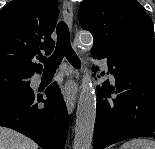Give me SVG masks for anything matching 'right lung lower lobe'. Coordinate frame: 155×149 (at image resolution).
Segmentation results:
<instances>
[{"instance_id": "98d812e1", "label": "right lung lower lobe", "mask_w": 155, "mask_h": 149, "mask_svg": "<svg viewBox=\"0 0 155 149\" xmlns=\"http://www.w3.org/2000/svg\"><path fill=\"white\" fill-rule=\"evenodd\" d=\"M48 99L33 94L26 97H0V126L12 128L43 149H64L68 114L60 89L52 83L45 91ZM39 102L45 103L39 109Z\"/></svg>"}]
</instances>
